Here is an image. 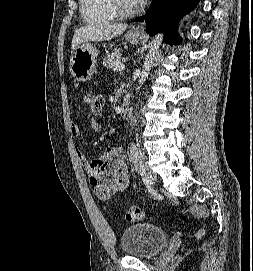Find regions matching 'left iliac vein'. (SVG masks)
I'll return each mask as SVG.
<instances>
[{"label": "left iliac vein", "instance_id": "1", "mask_svg": "<svg viewBox=\"0 0 253 271\" xmlns=\"http://www.w3.org/2000/svg\"><path fill=\"white\" fill-rule=\"evenodd\" d=\"M141 162L143 165V178L150 184L154 185L157 180V176L154 171L151 170V168L147 164L146 157L144 155H141Z\"/></svg>", "mask_w": 253, "mask_h": 271}]
</instances>
